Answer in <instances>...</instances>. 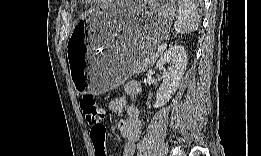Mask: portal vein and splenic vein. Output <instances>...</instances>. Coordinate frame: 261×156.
Listing matches in <instances>:
<instances>
[{"mask_svg":"<svg viewBox=\"0 0 261 156\" xmlns=\"http://www.w3.org/2000/svg\"><path fill=\"white\" fill-rule=\"evenodd\" d=\"M166 48V46L165 45H160L159 47H158V49H157V53H156V55H158L159 53H161L162 51H164V49Z\"/></svg>","mask_w":261,"mask_h":156,"instance_id":"18ae733b","label":"portal vein and splenic vein"}]
</instances>
